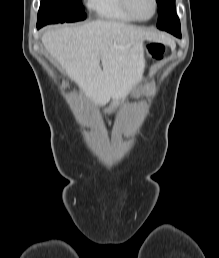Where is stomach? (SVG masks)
<instances>
[{
  "label": "stomach",
  "instance_id": "0dacf381",
  "mask_svg": "<svg viewBox=\"0 0 219 258\" xmlns=\"http://www.w3.org/2000/svg\"><path fill=\"white\" fill-rule=\"evenodd\" d=\"M121 104V100L118 98H115L112 100L111 108L107 110V112H111L112 109L117 108Z\"/></svg>",
  "mask_w": 219,
  "mask_h": 258
}]
</instances>
